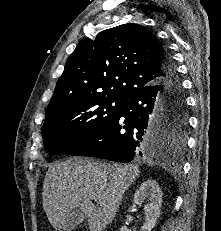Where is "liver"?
I'll use <instances>...</instances> for the list:
<instances>
[{"mask_svg":"<svg viewBox=\"0 0 221 231\" xmlns=\"http://www.w3.org/2000/svg\"><path fill=\"white\" fill-rule=\"evenodd\" d=\"M140 173L137 165H122L73 158L55 163L43 182V209L55 230H60L70 212L79 208L90 231L110 224L125 191ZM101 200L99 206L93 200Z\"/></svg>","mask_w":221,"mask_h":231,"instance_id":"6515ba94","label":"liver"}]
</instances>
